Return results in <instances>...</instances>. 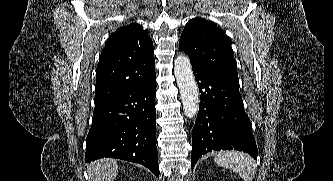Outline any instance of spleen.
I'll return each instance as SVG.
<instances>
[{
	"mask_svg": "<svg viewBox=\"0 0 333 181\" xmlns=\"http://www.w3.org/2000/svg\"><path fill=\"white\" fill-rule=\"evenodd\" d=\"M214 161L222 167L236 172L244 181H250L254 169L250 160L242 152L224 151L214 157Z\"/></svg>",
	"mask_w": 333,
	"mask_h": 181,
	"instance_id": "obj_1",
	"label": "spleen"
}]
</instances>
